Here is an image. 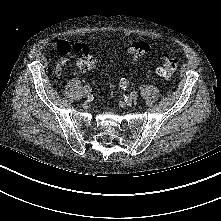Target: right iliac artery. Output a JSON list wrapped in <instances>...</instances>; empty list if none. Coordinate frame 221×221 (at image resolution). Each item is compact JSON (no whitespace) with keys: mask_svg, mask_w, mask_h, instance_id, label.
Masks as SVG:
<instances>
[{"mask_svg":"<svg viewBox=\"0 0 221 221\" xmlns=\"http://www.w3.org/2000/svg\"><path fill=\"white\" fill-rule=\"evenodd\" d=\"M84 89H87L88 91H91V88L89 85H85Z\"/></svg>","mask_w":221,"mask_h":221,"instance_id":"right-iliac-artery-1","label":"right iliac artery"}]
</instances>
